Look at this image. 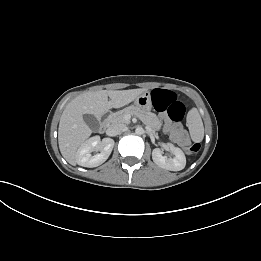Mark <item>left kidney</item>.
Returning <instances> with one entry per match:
<instances>
[{"label": "left kidney", "instance_id": "left-kidney-1", "mask_svg": "<svg viewBox=\"0 0 261 261\" xmlns=\"http://www.w3.org/2000/svg\"><path fill=\"white\" fill-rule=\"evenodd\" d=\"M168 147L174 155L173 158L163 156L162 151L159 148H155L152 151V159L154 163L159 167L170 171H180L184 169L186 165V157L183 151L172 144H168Z\"/></svg>", "mask_w": 261, "mask_h": 261}]
</instances>
